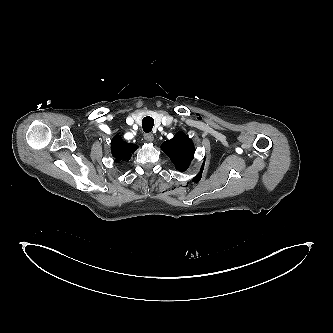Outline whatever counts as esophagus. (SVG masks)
Returning <instances> with one entry per match:
<instances>
[{
    "label": "esophagus",
    "instance_id": "1",
    "mask_svg": "<svg viewBox=\"0 0 333 333\" xmlns=\"http://www.w3.org/2000/svg\"><path fill=\"white\" fill-rule=\"evenodd\" d=\"M144 139L147 141V142H152L154 140V136L153 134L151 133H146L144 134Z\"/></svg>",
    "mask_w": 333,
    "mask_h": 333
}]
</instances>
